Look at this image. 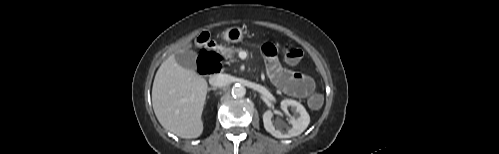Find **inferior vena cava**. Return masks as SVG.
<instances>
[{
    "label": "inferior vena cava",
    "instance_id": "obj_1",
    "mask_svg": "<svg viewBox=\"0 0 499 154\" xmlns=\"http://www.w3.org/2000/svg\"><path fill=\"white\" fill-rule=\"evenodd\" d=\"M209 83L215 87H223L230 83V76L228 74H215L209 79Z\"/></svg>",
    "mask_w": 499,
    "mask_h": 154
}]
</instances>
